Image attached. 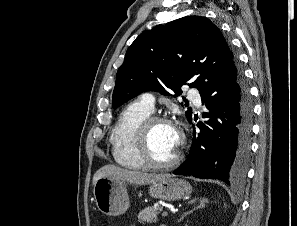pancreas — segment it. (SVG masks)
<instances>
[{
  "label": "pancreas",
  "instance_id": "1",
  "mask_svg": "<svg viewBox=\"0 0 297 226\" xmlns=\"http://www.w3.org/2000/svg\"><path fill=\"white\" fill-rule=\"evenodd\" d=\"M160 211H162L160 207H146L139 213L138 219L141 222L152 223L157 220V215Z\"/></svg>",
  "mask_w": 297,
  "mask_h": 226
}]
</instances>
